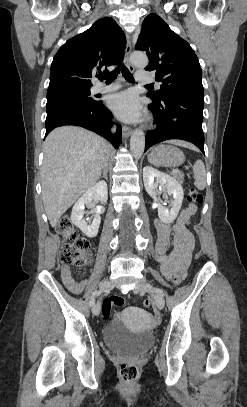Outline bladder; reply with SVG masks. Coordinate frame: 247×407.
I'll return each instance as SVG.
<instances>
[{
    "mask_svg": "<svg viewBox=\"0 0 247 407\" xmlns=\"http://www.w3.org/2000/svg\"><path fill=\"white\" fill-rule=\"evenodd\" d=\"M103 340L114 352L137 355L154 344V334L149 330H132L120 318H115L104 327Z\"/></svg>",
    "mask_w": 247,
    "mask_h": 407,
    "instance_id": "obj_1",
    "label": "bladder"
}]
</instances>
